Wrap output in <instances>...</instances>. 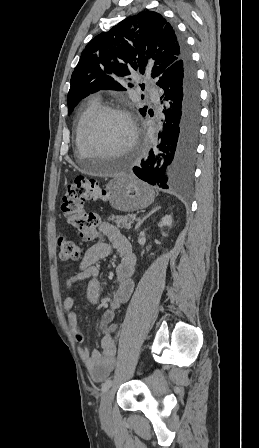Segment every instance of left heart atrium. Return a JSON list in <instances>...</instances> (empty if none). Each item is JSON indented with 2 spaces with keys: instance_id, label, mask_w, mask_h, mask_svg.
Here are the masks:
<instances>
[{
  "instance_id": "left-heart-atrium-1",
  "label": "left heart atrium",
  "mask_w": 259,
  "mask_h": 448,
  "mask_svg": "<svg viewBox=\"0 0 259 448\" xmlns=\"http://www.w3.org/2000/svg\"><path fill=\"white\" fill-rule=\"evenodd\" d=\"M148 155L150 156V155H151V152H148Z\"/></svg>"
}]
</instances>
